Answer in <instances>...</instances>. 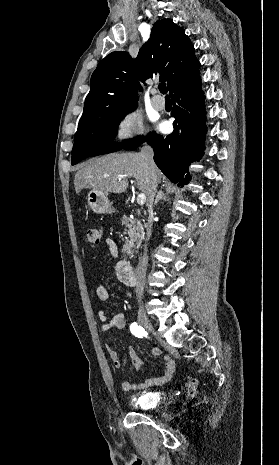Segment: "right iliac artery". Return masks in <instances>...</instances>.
<instances>
[{
	"label": "right iliac artery",
	"mask_w": 279,
	"mask_h": 465,
	"mask_svg": "<svg viewBox=\"0 0 279 465\" xmlns=\"http://www.w3.org/2000/svg\"><path fill=\"white\" fill-rule=\"evenodd\" d=\"M130 331L133 335L140 338L146 334L144 328L138 325L136 322L130 325Z\"/></svg>",
	"instance_id": "right-iliac-artery-1"
}]
</instances>
